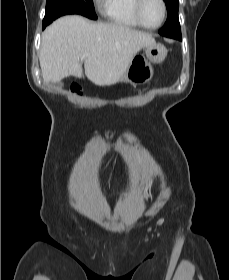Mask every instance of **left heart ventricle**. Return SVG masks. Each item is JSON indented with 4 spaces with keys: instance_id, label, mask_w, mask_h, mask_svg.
<instances>
[{
    "instance_id": "1",
    "label": "left heart ventricle",
    "mask_w": 229,
    "mask_h": 280,
    "mask_svg": "<svg viewBox=\"0 0 229 280\" xmlns=\"http://www.w3.org/2000/svg\"><path fill=\"white\" fill-rule=\"evenodd\" d=\"M142 17L146 24L150 26L157 25L162 18V7L158 0H146L143 9Z\"/></svg>"
}]
</instances>
